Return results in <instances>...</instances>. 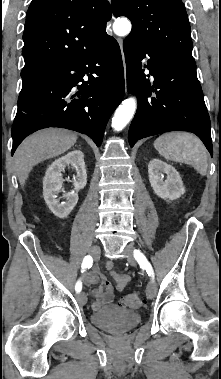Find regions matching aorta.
<instances>
[{
  "instance_id": "762f6f07",
  "label": "aorta",
  "mask_w": 221,
  "mask_h": 379,
  "mask_svg": "<svg viewBox=\"0 0 221 379\" xmlns=\"http://www.w3.org/2000/svg\"><path fill=\"white\" fill-rule=\"evenodd\" d=\"M113 30L118 36H126L131 31V23L127 18H118L113 24ZM136 105V99L130 97L116 109L111 123L115 131H121L128 124L135 113Z\"/></svg>"
}]
</instances>
